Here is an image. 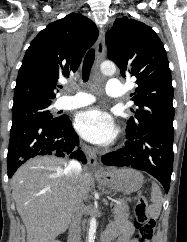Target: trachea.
<instances>
[{"label":"trachea","instance_id":"obj_1","mask_svg":"<svg viewBox=\"0 0 187 242\" xmlns=\"http://www.w3.org/2000/svg\"><path fill=\"white\" fill-rule=\"evenodd\" d=\"M95 59V50L90 49L83 61V81L87 82Z\"/></svg>","mask_w":187,"mask_h":242}]
</instances>
